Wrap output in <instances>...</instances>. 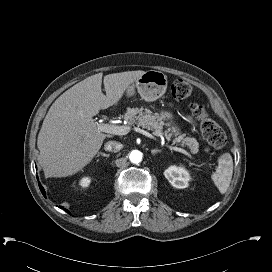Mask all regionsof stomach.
<instances>
[{
    "label": "stomach",
    "instance_id": "0dacf381",
    "mask_svg": "<svg viewBox=\"0 0 272 272\" xmlns=\"http://www.w3.org/2000/svg\"><path fill=\"white\" fill-rule=\"evenodd\" d=\"M168 79L167 76L156 70L146 71L134 84H131L126 90L127 97H131L137 92L141 99L147 102H153L162 97L167 89ZM160 120H167L168 126L173 123V114L167 111L161 112ZM179 128L175 125L169 131V135L177 136Z\"/></svg>",
    "mask_w": 272,
    "mask_h": 272
}]
</instances>
